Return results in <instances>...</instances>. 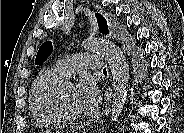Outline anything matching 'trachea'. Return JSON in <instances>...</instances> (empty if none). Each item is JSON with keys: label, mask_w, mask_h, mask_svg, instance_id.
Segmentation results:
<instances>
[{"label": "trachea", "mask_w": 184, "mask_h": 133, "mask_svg": "<svg viewBox=\"0 0 184 133\" xmlns=\"http://www.w3.org/2000/svg\"><path fill=\"white\" fill-rule=\"evenodd\" d=\"M103 72H107L106 68L103 69Z\"/></svg>", "instance_id": "1"}]
</instances>
